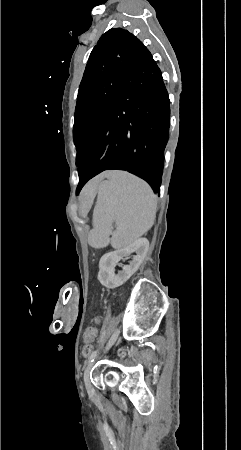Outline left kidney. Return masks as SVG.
Instances as JSON below:
<instances>
[{"instance_id": "1", "label": "left kidney", "mask_w": 241, "mask_h": 450, "mask_svg": "<svg viewBox=\"0 0 241 450\" xmlns=\"http://www.w3.org/2000/svg\"><path fill=\"white\" fill-rule=\"evenodd\" d=\"M149 248V242L147 238H139L135 240L130 246H126L123 250H118V252H109V254H104L99 262V272L98 280L102 286L105 288H118L122 286L124 282H127L134 272H137L140 264H142ZM137 254V256H132L129 266H122V272L115 274V266H117L120 260H126L127 256L130 254Z\"/></svg>"}]
</instances>
